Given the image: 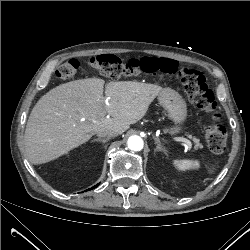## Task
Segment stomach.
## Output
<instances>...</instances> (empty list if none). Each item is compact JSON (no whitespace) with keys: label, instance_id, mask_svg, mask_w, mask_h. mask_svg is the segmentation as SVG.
<instances>
[{"label":"stomach","instance_id":"stomach-1","mask_svg":"<svg viewBox=\"0 0 250 250\" xmlns=\"http://www.w3.org/2000/svg\"><path fill=\"white\" fill-rule=\"evenodd\" d=\"M160 104L168 112L169 118L176 124L169 129V134L173 135L181 131V125L187 118V104L182 96L174 90L163 89L158 94Z\"/></svg>","mask_w":250,"mask_h":250}]
</instances>
